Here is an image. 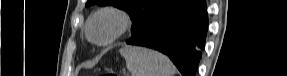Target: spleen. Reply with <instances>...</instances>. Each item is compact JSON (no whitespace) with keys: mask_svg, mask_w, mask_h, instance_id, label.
Listing matches in <instances>:
<instances>
[{"mask_svg":"<svg viewBox=\"0 0 287 76\" xmlns=\"http://www.w3.org/2000/svg\"><path fill=\"white\" fill-rule=\"evenodd\" d=\"M120 54L131 76H174L175 67L163 54L137 46H125Z\"/></svg>","mask_w":287,"mask_h":76,"instance_id":"obj_1","label":"spleen"}]
</instances>
